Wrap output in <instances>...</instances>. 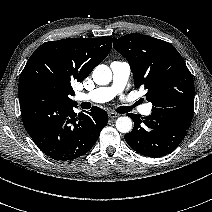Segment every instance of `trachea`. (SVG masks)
Returning a JSON list of instances; mask_svg holds the SVG:
<instances>
[{
	"mask_svg": "<svg viewBox=\"0 0 212 212\" xmlns=\"http://www.w3.org/2000/svg\"><path fill=\"white\" fill-rule=\"evenodd\" d=\"M132 110V107L129 106H121L116 109L118 113H128Z\"/></svg>",
	"mask_w": 212,
	"mask_h": 212,
	"instance_id": "obj_1",
	"label": "trachea"
}]
</instances>
